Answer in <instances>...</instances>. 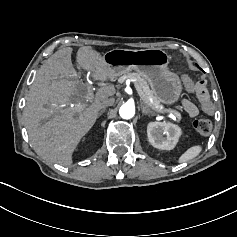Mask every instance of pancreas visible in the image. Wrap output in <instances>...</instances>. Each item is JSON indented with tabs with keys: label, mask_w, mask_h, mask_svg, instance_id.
<instances>
[{
	"label": "pancreas",
	"mask_w": 237,
	"mask_h": 237,
	"mask_svg": "<svg viewBox=\"0 0 237 237\" xmlns=\"http://www.w3.org/2000/svg\"><path fill=\"white\" fill-rule=\"evenodd\" d=\"M126 79L134 80V83L136 82L142 89V92L145 94L147 98V102L152 106V107H157L159 110L163 109L162 105L160 104V100L154 95L153 91L150 89L147 81L140 76L138 73H127L124 75ZM140 95V94H139ZM145 103V102H144ZM146 105V104H145ZM147 106V105H146ZM148 107V106H147ZM149 108V107H148ZM150 109V108H149ZM152 113H155L156 111L153 109H150ZM159 113H164L160 112ZM179 121V120H178Z\"/></svg>",
	"instance_id": "cf45deb5"
}]
</instances>
